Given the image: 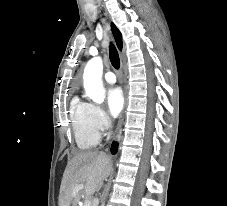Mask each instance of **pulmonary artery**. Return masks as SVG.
Wrapping results in <instances>:
<instances>
[{
	"instance_id": "pulmonary-artery-1",
	"label": "pulmonary artery",
	"mask_w": 227,
	"mask_h": 206,
	"mask_svg": "<svg viewBox=\"0 0 227 206\" xmlns=\"http://www.w3.org/2000/svg\"><path fill=\"white\" fill-rule=\"evenodd\" d=\"M104 79L109 84H114L116 82V76L112 71H107L104 74Z\"/></svg>"
}]
</instances>
